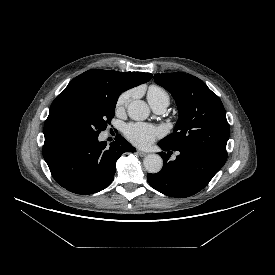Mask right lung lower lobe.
Listing matches in <instances>:
<instances>
[{
  "mask_svg": "<svg viewBox=\"0 0 275 275\" xmlns=\"http://www.w3.org/2000/svg\"><path fill=\"white\" fill-rule=\"evenodd\" d=\"M97 137L69 134L45 136L43 156L55 181L70 192L88 195L113 181L115 164L135 148L121 135L109 147Z\"/></svg>",
  "mask_w": 275,
  "mask_h": 275,
  "instance_id": "obj_1",
  "label": "right lung lower lobe"
}]
</instances>
